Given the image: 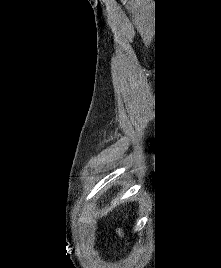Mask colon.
Masks as SVG:
<instances>
[{
	"label": "colon",
	"mask_w": 221,
	"mask_h": 268,
	"mask_svg": "<svg viewBox=\"0 0 221 268\" xmlns=\"http://www.w3.org/2000/svg\"><path fill=\"white\" fill-rule=\"evenodd\" d=\"M116 232H117L118 236H119L122 240H124V241L127 240V236H126V234H125V232H124V229H123V226H122L121 224L117 226Z\"/></svg>",
	"instance_id": "5ec220e1"
}]
</instances>
